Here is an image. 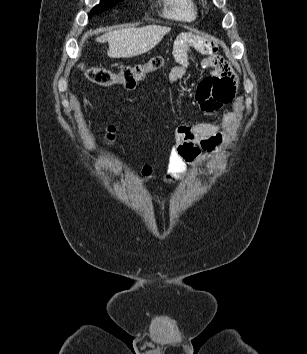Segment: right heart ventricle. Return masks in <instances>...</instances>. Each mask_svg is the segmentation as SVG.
I'll return each instance as SVG.
<instances>
[{"label": "right heart ventricle", "mask_w": 307, "mask_h": 354, "mask_svg": "<svg viewBox=\"0 0 307 354\" xmlns=\"http://www.w3.org/2000/svg\"><path fill=\"white\" fill-rule=\"evenodd\" d=\"M163 15L172 20L191 22L196 18L197 5L194 0H162Z\"/></svg>", "instance_id": "obj_1"}]
</instances>
